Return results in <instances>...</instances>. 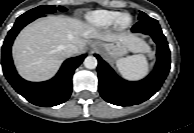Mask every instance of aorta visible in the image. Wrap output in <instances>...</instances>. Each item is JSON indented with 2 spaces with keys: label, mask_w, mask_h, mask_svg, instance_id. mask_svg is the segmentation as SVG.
<instances>
[{
  "label": "aorta",
  "mask_w": 194,
  "mask_h": 133,
  "mask_svg": "<svg viewBox=\"0 0 194 133\" xmlns=\"http://www.w3.org/2000/svg\"><path fill=\"white\" fill-rule=\"evenodd\" d=\"M97 59L94 56H87L84 60V66L87 69H95L97 67Z\"/></svg>",
  "instance_id": "aorta-1"
}]
</instances>
